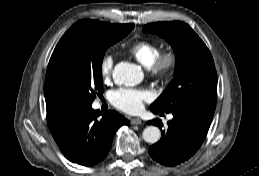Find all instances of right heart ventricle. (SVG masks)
Here are the masks:
<instances>
[{"instance_id":"e07e8e85","label":"right heart ventricle","mask_w":259,"mask_h":176,"mask_svg":"<svg viewBox=\"0 0 259 176\" xmlns=\"http://www.w3.org/2000/svg\"><path fill=\"white\" fill-rule=\"evenodd\" d=\"M128 52L140 64L148 68L160 53V45L151 40L141 39L133 42Z\"/></svg>"}]
</instances>
